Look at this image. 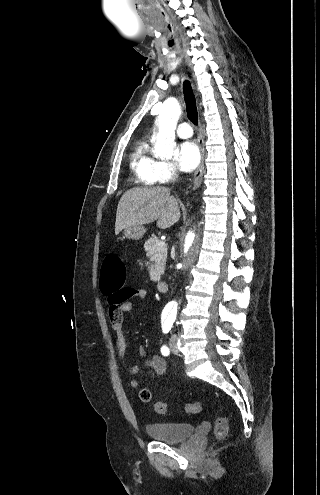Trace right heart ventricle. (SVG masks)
Instances as JSON below:
<instances>
[{
	"label": "right heart ventricle",
	"mask_w": 320,
	"mask_h": 495,
	"mask_svg": "<svg viewBox=\"0 0 320 495\" xmlns=\"http://www.w3.org/2000/svg\"><path fill=\"white\" fill-rule=\"evenodd\" d=\"M157 161L151 153L146 140L137 144L131 155L130 167L135 180L143 185L155 183L154 172Z\"/></svg>",
	"instance_id": "obj_1"
}]
</instances>
